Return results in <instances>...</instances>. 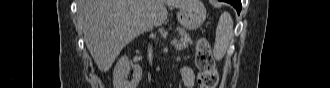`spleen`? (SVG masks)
Wrapping results in <instances>:
<instances>
[{"mask_svg": "<svg viewBox=\"0 0 330 88\" xmlns=\"http://www.w3.org/2000/svg\"><path fill=\"white\" fill-rule=\"evenodd\" d=\"M233 40V20L228 12H223L220 16L217 29L216 39L213 49V55L216 60H221Z\"/></svg>", "mask_w": 330, "mask_h": 88, "instance_id": "3e777b00", "label": "spleen"}]
</instances>
